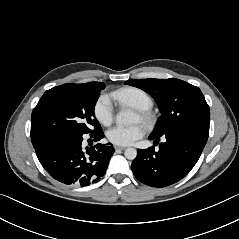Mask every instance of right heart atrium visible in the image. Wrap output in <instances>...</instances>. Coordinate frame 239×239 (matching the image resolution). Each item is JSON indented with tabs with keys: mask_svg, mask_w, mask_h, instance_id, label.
<instances>
[{
	"mask_svg": "<svg viewBox=\"0 0 239 239\" xmlns=\"http://www.w3.org/2000/svg\"><path fill=\"white\" fill-rule=\"evenodd\" d=\"M94 114L97 120L103 125H109L113 120L114 106L108 95H101L95 105Z\"/></svg>",
	"mask_w": 239,
	"mask_h": 239,
	"instance_id": "d8ad5b80",
	"label": "right heart atrium"
}]
</instances>
